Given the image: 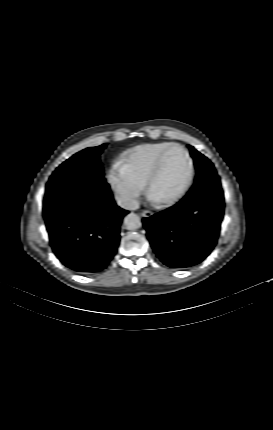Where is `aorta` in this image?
I'll list each match as a JSON object with an SVG mask.
<instances>
[{
    "mask_svg": "<svg viewBox=\"0 0 273 430\" xmlns=\"http://www.w3.org/2000/svg\"><path fill=\"white\" fill-rule=\"evenodd\" d=\"M124 225L128 230H136L141 227L140 217L134 213L128 214L124 219Z\"/></svg>",
    "mask_w": 273,
    "mask_h": 430,
    "instance_id": "aorta-1",
    "label": "aorta"
}]
</instances>
